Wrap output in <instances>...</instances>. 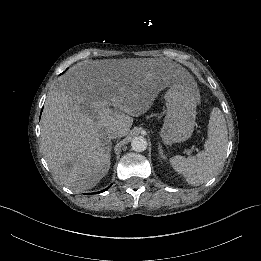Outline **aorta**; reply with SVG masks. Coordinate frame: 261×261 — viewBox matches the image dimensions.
<instances>
[{"instance_id": "1", "label": "aorta", "mask_w": 261, "mask_h": 261, "mask_svg": "<svg viewBox=\"0 0 261 261\" xmlns=\"http://www.w3.org/2000/svg\"><path fill=\"white\" fill-rule=\"evenodd\" d=\"M147 140L142 136H137L133 138L131 142V148L136 152H143L147 149Z\"/></svg>"}]
</instances>
